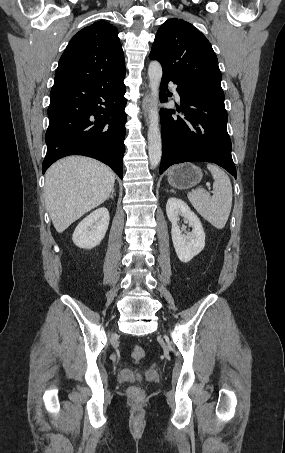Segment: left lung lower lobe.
Wrapping results in <instances>:
<instances>
[{
    "instance_id": "1",
    "label": "left lung lower lobe",
    "mask_w": 285,
    "mask_h": 453,
    "mask_svg": "<svg viewBox=\"0 0 285 453\" xmlns=\"http://www.w3.org/2000/svg\"><path fill=\"white\" fill-rule=\"evenodd\" d=\"M178 85L181 105L177 108L184 117L172 110L161 109L162 159L160 174L169 166L203 161L215 163L236 178L231 156V140L227 132V112L224 100L192 88L174 76L163 73L160 99L167 101L164 92L168 82Z\"/></svg>"
}]
</instances>
